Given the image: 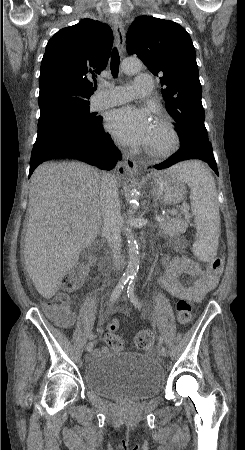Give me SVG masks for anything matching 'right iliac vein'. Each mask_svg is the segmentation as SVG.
I'll return each instance as SVG.
<instances>
[{
	"label": "right iliac vein",
	"mask_w": 245,
	"mask_h": 450,
	"mask_svg": "<svg viewBox=\"0 0 245 450\" xmlns=\"http://www.w3.org/2000/svg\"><path fill=\"white\" fill-rule=\"evenodd\" d=\"M93 343L92 342H89L87 345H86V350L88 351V352H90V351H92V349H93Z\"/></svg>",
	"instance_id": "right-iliac-vein-1"
}]
</instances>
